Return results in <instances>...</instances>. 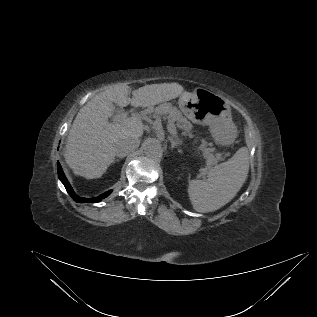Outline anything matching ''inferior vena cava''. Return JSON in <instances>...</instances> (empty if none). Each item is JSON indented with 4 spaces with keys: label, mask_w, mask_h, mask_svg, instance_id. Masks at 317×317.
Returning a JSON list of instances; mask_svg holds the SVG:
<instances>
[{
    "label": "inferior vena cava",
    "mask_w": 317,
    "mask_h": 317,
    "mask_svg": "<svg viewBox=\"0 0 317 317\" xmlns=\"http://www.w3.org/2000/svg\"><path fill=\"white\" fill-rule=\"evenodd\" d=\"M139 146V140L136 138H125L115 144V154L119 157H125L128 153Z\"/></svg>",
    "instance_id": "1"
}]
</instances>
